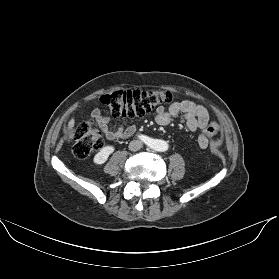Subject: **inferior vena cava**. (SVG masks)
Listing matches in <instances>:
<instances>
[{
	"mask_svg": "<svg viewBox=\"0 0 279 279\" xmlns=\"http://www.w3.org/2000/svg\"><path fill=\"white\" fill-rule=\"evenodd\" d=\"M143 143L140 140H133L129 143V150L138 151L142 148Z\"/></svg>",
	"mask_w": 279,
	"mask_h": 279,
	"instance_id": "inferior-vena-cava-1",
	"label": "inferior vena cava"
}]
</instances>
